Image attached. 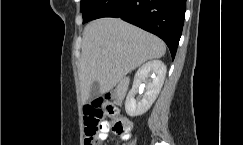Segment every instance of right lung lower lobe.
Returning <instances> with one entry per match:
<instances>
[{
    "instance_id": "right-lung-lower-lobe-1",
    "label": "right lung lower lobe",
    "mask_w": 243,
    "mask_h": 145,
    "mask_svg": "<svg viewBox=\"0 0 243 145\" xmlns=\"http://www.w3.org/2000/svg\"><path fill=\"white\" fill-rule=\"evenodd\" d=\"M186 0H93L83 22L101 17L121 18L160 37L174 59L182 34Z\"/></svg>"
}]
</instances>
